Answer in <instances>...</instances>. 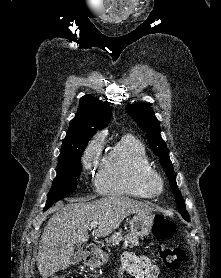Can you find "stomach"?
<instances>
[{"instance_id": "1", "label": "stomach", "mask_w": 221, "mask_h": 278, "mask_svg": "<svg viewBox=\"0 0 221 278\" xmlns=\"http://www.w3.org/2000/svg\"><path fill=\"white\" fill-rule=\"evenodd\" d=\"M154 224V215L151 213H137L130 221V232L135 237L149 235ZM108 261V254L99 252L90 261L91 266H101Z\"/></svg>"}]
</instances>
